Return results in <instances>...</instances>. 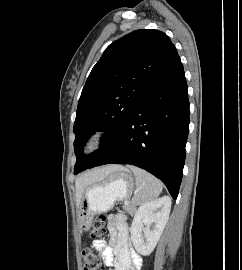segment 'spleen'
Here are the masks:
<instances>
[{"label":"spleen","instance_id":"3e777b00","mask_svg":"<svg viewBox=\"0 0 242 270\" xmlns=\"http://www.w3.org/2000/svg\"><path fill=\"white\" fill-rule=\"evenodd\" d=\"M129 168L134 173L136 181V190L132 202L135 205H142L155 200L162 192V183L143 169L135 166Z\"/></svg>","mask_w":242,"mask_h":270}]
</instances>
